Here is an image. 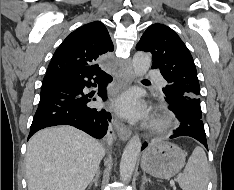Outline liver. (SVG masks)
I'll return each instance as SVG.
<instances>
[{"mask_svg": "<svg viewBox=\"0 0 234 190\" xmlns=\"http://www.w3.org/2000/svg\"><path fill=\"white\" fill-rule=\"evenodd\" d=\"M104 155L96 139L74 127L40 130L27 145L28 190H85Z\"/></svg>", "mask_w": 234, "mask_h": 190, "instance_id": "obj_1", "label": "liver"}]
</instances>
